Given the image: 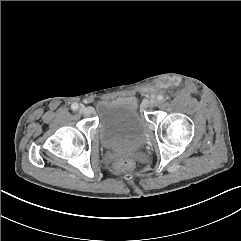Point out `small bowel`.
<instances>
[{
	"instance_id": "obj_1",
	"label": "small bowel",
	"mask_w": 241,
	"mask_h": 241,
	"mask_svg": "<svg viewBox=\"0 0 241 241\" xmlns=\"http://www.w3.org/2000/svg\"><path fill=\"white\" fill-rule=\"evenodd\" d=\"M126 102L134 104L135 100H134V98L130 97V98H126Z\"/></svg>"
}]
</instances>
